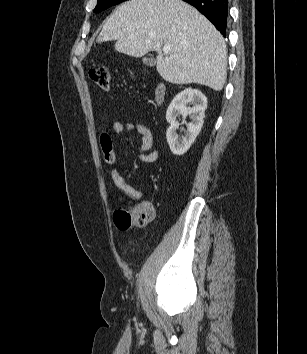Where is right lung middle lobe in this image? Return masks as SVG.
<instances>
[{
	"mask_svg": "<svg viewBox=\"0 0 307 354\" xmlns=\"http://www.w3.org/2000/svg\"><path fill=\"white\" fill-rule=\"evenodd\" d=\"M126 0H98L97 6L94 9V12H100L111 6L124 2Z\"/></svg>",
	"mask_w": 307,
	"mask_h": 354,
	"instance_id": "dd1d6c3e",
	"label": "right lung middle lobe"
}]
</instances>
